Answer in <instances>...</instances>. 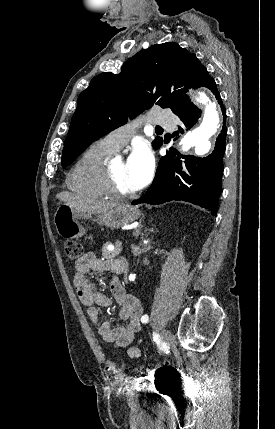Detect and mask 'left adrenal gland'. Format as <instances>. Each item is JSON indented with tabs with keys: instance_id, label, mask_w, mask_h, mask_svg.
<instances>
[{
	"instance_id": "left-adrenal-gland-1",
	"label": "left adrenal gland",
	"mask_w": 275,
	"mask_h": 429,
	"mask_svg": "<svg viewBox=\"0 0 275 429\" xmlns=\"http://www.w3.org/2000/svg\"><path fill=\"white\" fill-rule=\"evenodd\" d=\"M140 229H141V225H139L138 228L134 232V235L136 236V238L139 236Z\"/></svg>"
}]
</instances>
